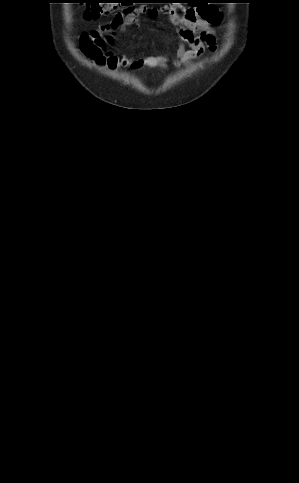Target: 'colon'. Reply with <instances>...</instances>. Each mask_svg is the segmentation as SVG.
Masks as SVG:
<instances>
[{
	"label": "colon",
	"mask_w": 299,
	"mask_h": 483,
	"mask_svg": "<svg viewBox=\"0 0 299 483\" xmlns=\"http://www.w3.org/2000/svg\"><path fill=\"white\" fill-rule=\"evenodd\" d=\"M88 3H90V6L86 9L85 15L90 19L109 16L116 12L120 5H123L121 0H90ZM198 11L202 18H209L204 6H200Z\"/></svg>",
	"instance_id": "colon-1"
}]
</instances>
